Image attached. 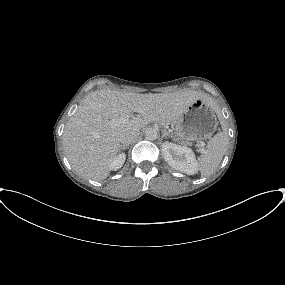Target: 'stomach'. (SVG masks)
<instances>
[{
	"instance_id": "1",
	"label": "stomach",
	"mask_w": 285,
	"mask_h": 285,
	"mask_svg": "<svg viewBox=\"0 0 285 285\" xmlns=\"http://www.w3.org/2000/svg\"><path fill=\"white\" fill-rule=\"evenodd\" d=\"M218 125L216 110L199 99L192 103L175 123L176 139L182 143L209 139Z\"/></svg>"
}]
</instances>
